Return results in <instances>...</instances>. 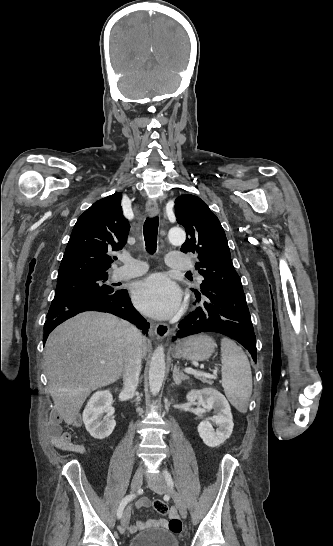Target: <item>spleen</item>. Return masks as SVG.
Instances as JSON below:
<instances>
[{"label":"spleen","mask_w":333,"mask_h":546,"mask_svg":"<svg viewBox=\"0 0 333 546\" xmlns=\"http://www.w3.org/2000/svg\"><path fill=\"white\" fill-rule=\"evenodd\" d=\"M222 386L231 404L246 413L252 393V372L241 347L228 339L221 340Z\"/></svg>","instance_id":"spleen-1"}]
</instances>
